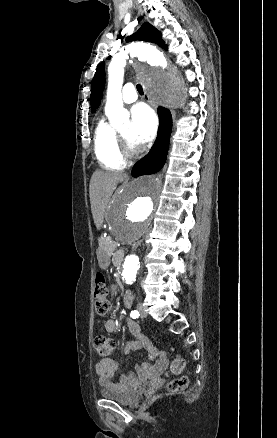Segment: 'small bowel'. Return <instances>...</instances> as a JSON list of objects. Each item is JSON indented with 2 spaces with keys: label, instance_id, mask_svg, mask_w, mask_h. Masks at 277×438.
<instances>
[{
  "label": "small bowel",
  "instance_id": "obj_1",
  "mask_svg": "<svg viewBox=\"0 0 277 438\" xmlns=\"http://www.w3.org/2000/svg\"><path fill=\"white\" fill-rule=\"evenodd\" d=\"M132 302L133 296L130 292H127L124 297L125 306L130 307ZM104 327L108 333H113L116 330V321L114 319H108L105 321ZM128 328L134 336V340L125 345L124 353L128 355L132 350L146 348L150 353V358L156 359V362L155 364L143 362L138 366L137 372L121 374L119 380L115 381L113 377L118 371H120V364L112 359H102L96 364L95 373L98 379V384L103 388L120 392L128 391L138 384L141 375L161 373L166 370L169 365L168 355L153 347L141 333L136 323L129 322Z\"/></svg>",
  "mask_w": 277,
  "mask_h": 438
}]
</instances>
